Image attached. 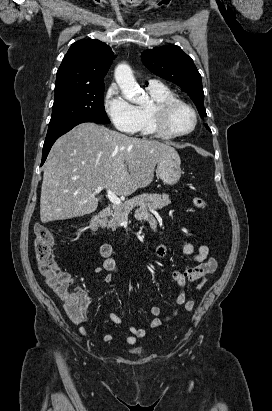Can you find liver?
I'll return each instance as SVG.
<instances>
[{"label":"liver","instance_id":"1","mask_svg":"<svg viewBox=\"0 0 272 411\" xmlns=\"http://www.w3.org/2000/svg\"><path fill=\"white\" fill-rule=\"evenodd\" d=\"M180 161L164 143L126 136L94 123H82L61 136L45 163L40 198L42 223L66 220L94 212L102 186L128 196L148 186L156 163Z\"/></svg>","mask_w":272,"mask_h":411}]
</instances>
